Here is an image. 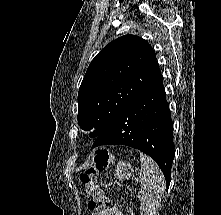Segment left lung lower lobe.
<instances>
[{"mask_svg": "<svg viewBox=\"0 0 221 215\" xmlns=\"http://www.w3.org/2000/svg\"><path fill=\"white\" fill-rule=\"evenodd\" d=\"M119 144L138 149L152 157L162 170L168 189L174 147L162 77L117 117L95 140L92 148Z\"/></svg>", "mask_w": 221, "mask_h": 215, "instance_id": "left-lung-lower-lobe-1", "label": "left lung lower lobe"}]
</instances>
